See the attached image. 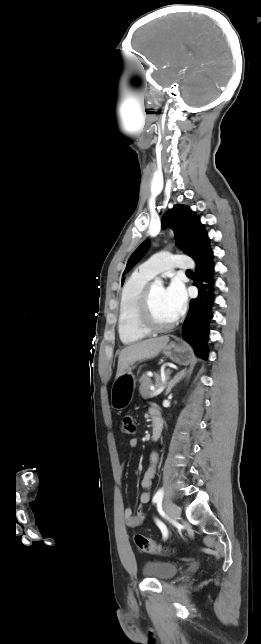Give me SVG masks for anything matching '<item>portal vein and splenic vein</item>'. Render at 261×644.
Listing matches in <instances>:
<instances>
[{"mask_svg": "<svg viewBox=\"0 0 261 644\" xmlns=\"http://www.w3.org/2000/svg\"><path fill=\"white\" fill-rule=\"evenodd\" d=\"M166 384H167V383L165 382V383H164V384H162V386H160L158 389L153 390V393L151 394V396L153 397V396H157V395H159V394L164 390V388H165Z\"/></svg>", "mask_w": 261, "mask_h": 644, "instance_id": "1", "label": "portal vein and splenic vein"}]
</instances>
